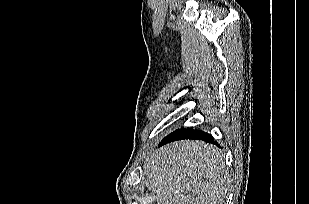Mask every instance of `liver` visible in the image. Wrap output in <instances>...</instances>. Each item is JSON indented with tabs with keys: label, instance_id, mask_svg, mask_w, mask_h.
<instances>
[{
	"label": "liver",
	"instance_id": "liver-1",
	"mask_svg": "<svg viewBox=\"0 0 309 204\" xmlns=\"http://www.w3.org/2000/svg\"><path fill=\"white\" fill-rule=\"evenodd\" d=\"M144 183L158 204H223L229 175L220 149L203 141H179L150 154Z\"/></svg>",
	"mask_w": 309,
	"mask_h": 204
}]
</instances>
